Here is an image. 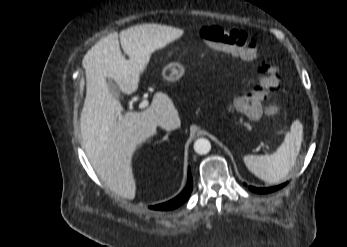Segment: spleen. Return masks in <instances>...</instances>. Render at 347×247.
<instances>
[{
  "label": "spleen",
  "instance_id": "1",
  "mask_svg": "<svg viewBox=\"0 0 347 247\" xmlns=\"http://www.w3.org/2000/svg\"><path fill=\"white\" fill-rule=\"evenodd\" d=\"M303 140V125L295 120L283 143L270 155H245L243 161L250 172L267 183L284 179L295 165Z\"/></svg>",
  "mask_w": 347,
  "mask_h": 247
}]
</instances>
